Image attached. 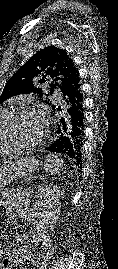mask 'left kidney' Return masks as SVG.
Wrapping results in <instances>:
<instances>
[{
	"instance_id": "5707ae66",
	"label": "left kidney",
	"mask_w": 118,
	"mask_h": 269,
	"mask_svg": "<svg viewBox=\"0 0 118 269\" xmlns=\"http://www.w3.org/2000/svg\"><path fill=\"white\" fill-rule=\"evenodd\" d=\"M60 188L55 184L39 185L35 194L33 208L39 223L53 229L60 216Z\"/></svg>"
}]
</instances>
